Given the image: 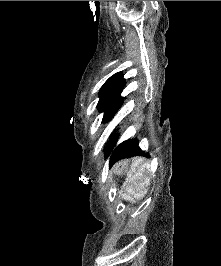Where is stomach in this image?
Masks as SVG:
<instances>
[{
  "label": "stomach",
  "mask_w": 221,
  "mask_h": 266,
  "mask_svg": "<svg viewBox=\"0 0 221 266\" xmlns=\"http://www.w3.org/2000/svg\"><path fill=\"white\" fill-rule=\"evenodd\" d=\"M115 171L118 175L128 173L129 170V165L126 162H121L116 165Z\"/></svg>",
  "instance_id": "1"
}]
</instances>
